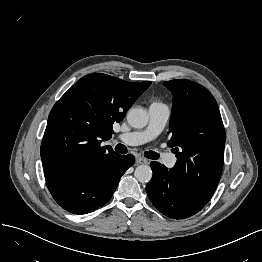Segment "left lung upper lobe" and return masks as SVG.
Segmentation results:
<instances>
[{"label":"left lung upper lobe","instance_id":"5c2ea615","mask_svg":"<svg viewBox=\"0 0 262 262\" xmlns=\"http://www.w3.org/2000/svg\"><path fill=\"white\" fill-rule=\"evenodd\" d=\"M164 85L173 94L168 146L174 147L177 162L172 175L206 205L222 173L226 141L217 102L193 81L177 79Z\"/></svg>","mask_w":262,"mask_h":262}]
</instances>
